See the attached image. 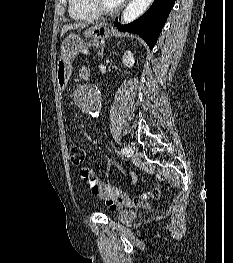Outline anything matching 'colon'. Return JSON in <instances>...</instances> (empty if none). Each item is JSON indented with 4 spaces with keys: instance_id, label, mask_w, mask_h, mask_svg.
<instances>
[{
    "instance_id": "colon-1",
    "label": "colon",
    "mask_w": 233,
    "mask_h": 263,
    "mask_svg": "<svg viewBox=\"0 0 233 263\" xmlns=\"http://www.w3.org/2000/svg\"><path fill=\"white\" fill-rule=\"evenodd\" d=\"M86 159V152L82 147L73 146L69 149V160L70 163L75 167L83 166ZM83 175L88 176V172L85 167H82ZM120 189L119 187H115ZM162 197V190L159 188H153L147 192H144L141 195H138L134 198H130L125 192H120V200L124 205L137 207L145 204L149 199L157 200Z\"/></svg>"
}]
</instances>
